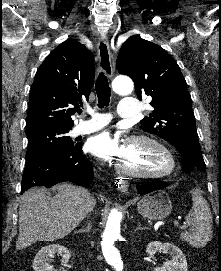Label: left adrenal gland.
<instances>
[{"instance_id":"a2214340","label":"left adrenal gland","mask_w":221,"mask_h":271,"mask_svg":"<svg viewBox=\"0 0 221 271\" xmlns=\"http://www.w3.org/2000/svg\"><path fill=\"white\" fill-rule=\"evenodd\" d=\"M136 229H149V227H141V221H139V225Z\"/></svg>"}]
</instances>
